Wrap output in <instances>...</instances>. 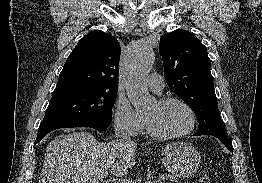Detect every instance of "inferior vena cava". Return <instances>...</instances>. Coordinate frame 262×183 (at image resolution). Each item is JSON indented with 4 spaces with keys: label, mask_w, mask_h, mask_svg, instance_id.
Instances as JSON below:
<instances>
[{
    "label": "inferior vena cava",
    "mask_w": 262,
    "mask_h": 183,
    "mask_svg": "<svg viewBox=\"0 0 262 183\" xmlns=\"http://www.w3.org/2000/svg\"><path fill=\"white\" fill-rule=\"evenodd\" d=\"M115 137L125 141H131L130 137L127 135L124 128L120 124L115 125Z\"/></svg>",
    "instance_id": "inferior-vena-cava-1"
}]
</instances>
